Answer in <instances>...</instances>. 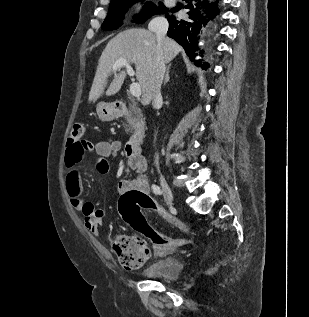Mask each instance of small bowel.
Masks as SVG:
<instances>
[{
	"label": "small bowel",
	"mask_w": 309,
	"mask_h": 317,
	"mask_svg": "<svg viewBox=\"0 0 309 317\" xmlns=\"http://www.w3.org/2000/svg\"><path fill=\"white\" fill-rule=\"evenodd\" d=\"M84 145V156L91 151H95L96 159L94 168L100 174H106L109 170V159L115 158L121 151V142L115 139H108L97 142L95 145ZM90 146V149H89ZM83 156V157H84ZM82 160V158H81ZM80 160V161H81ZM66 164L65 187L70 202L75 210L83 214L85 228L94 236H99L100 227L103 225L104 211L97 208L93 203L83 199V184L79 171V163ZM147 168L146 159L142 155L128 157L125 165L127 173L135 172V176H127L118 182L117 190L122 195L129 190H139L149 194V182L145 175ZM167 248L156 247L154 253L161 255Z\"/></svg>",
	"instance_id": "1"
}]
</instances>
